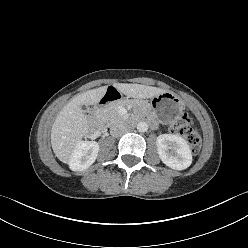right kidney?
Wrapping results in <instances>:
<instances>
[{"label":"right kidney","mask_w":248,"mask_h":248,"mask_svg":"<svg viewBox=\"0 0 248 248\" xmlns=\"http://www.w3.org/2000/svg\"><path fill=\"white\" fill-rule=\"evenodd\" d=\"M99 144L95 141H80L71 156L69 167L73 171H83L96 160Z\"/></svg>","instance_id":"right-kidney-1"}]
</instances>
